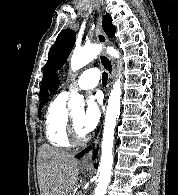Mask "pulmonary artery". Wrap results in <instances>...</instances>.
I'll use <instances>...</instances> for the list:
<instances>
[{
  "label": "pulmonary artery",
  "instance_id": "obj_1",
  "mask_svg": "<svg viewBox=\"0 0 178 195\" xmlns=\"http://www.w3.org/2000/svg\"><path fill=\"white\" fill-rule=\"evenodd\" d=\"M100 78V73L97 68H89L85 70L77 79V81L68 86L62 94L68 96L74 90H87L97 86Z\"/></svg>",
  "mask_w": 178,
  "mask_h": 195
}]
</instances>
